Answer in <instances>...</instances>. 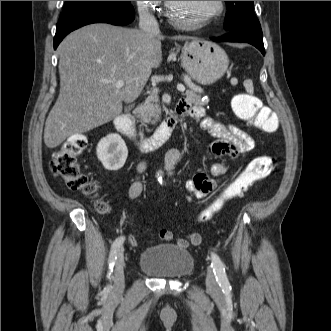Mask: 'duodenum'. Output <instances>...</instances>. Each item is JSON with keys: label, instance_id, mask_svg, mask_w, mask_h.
Returning <instances> with one entry per match:
<instances>
[{"label": "duodenum", "instance_id": "410a0bca", "mask_svg": "<svg viewBox=\"0 0 331 331\" xmlns=\"http://www.w3.org/2000/svg\"><path fill=\"white\" fill-rule=\"evenodd\" d=\"M182 114L181 109L177 106L159 125L154 134L144 140H138L134 124L127 113L117 115L114 125L119 133L134 141L140 151L149 152L157 150L169 139Z\"/></svg>", "mask_w": 331, "mask_h": 331}]
</instances>
